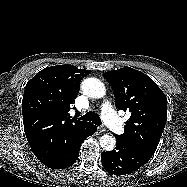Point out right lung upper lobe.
Wrapping results in <instances>:
<instances>
[{"label": "right lung upper lobe", "instance_id": "cb5924a9", "mask_svg": "<svg viewBox=\"0 0 187 187\" xmlns=\"http://www.w3.org/2000/svg\"><path fill=\"white\" fill-rule=\"evenodd\" d=\"M90 73L73 65H57L41 70L27 82L22 100L24 131L43 164L65 156L70 140L95 126L78 118V113L72 119L68 113L81 79Z\"/></svg>", "mask_w": 187, "mask_h": 187}]
</instances>
